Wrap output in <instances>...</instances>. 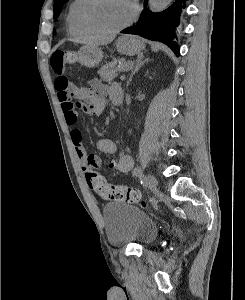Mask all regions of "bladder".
Returning <instances> with one entry per match:
<instances>
[{"instance_id": "bladder-1", "label": "bladder", "mask_w": 245, "mask_h": 300, "mask_svg": "<svg viewBox=\"0 0 245 300\" xmlns=\"http://www.w3.org/2000/svg\"><path fill=\"white\" fill-rule=\"evenodd\" d=\"M104 228L107 240L112 246L152 243L158 232L156 223L138 207L112 202L103 209Z\"/></svg>"}]
</instances>
